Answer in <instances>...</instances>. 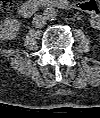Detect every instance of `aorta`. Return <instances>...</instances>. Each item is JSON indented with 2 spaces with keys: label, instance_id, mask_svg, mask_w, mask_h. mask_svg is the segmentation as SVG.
I'll use <instances>...</instances> for the list:
<instances>
[{
  "label": "aorta",
  "instance_id": "762f6f07",
  "mask_svg": "<svg viewBox=\"0 0 100 118\" xmlns=\"http://www.w3.org/2000/svg\"><path fill=\"white\" fill-rule=\"evenodd\" d=\"M43 16L46 18V20L53 21L57 17V10L53 7H47L43 11Z\"/></svg>",
  "mask_w": 100,
  "mask_h": 118
}]
</instances>
